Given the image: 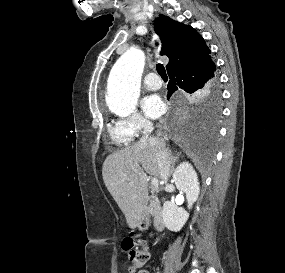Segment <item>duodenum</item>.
I'll return each instance as SVG.
<instances>
[{"mask_svg":"<svg viewBox=\"0 0 285 273\" xmlns=\"http://www.w3.org/2000/svg\"><path fill=\"white\" fill-rule=\"evenodd\" d=\"M148 218L153 219V225L156 231L160 232L164 229L165 223L162 215L160 201L157 197L152 195L147 196L144 201L140 226H144L147 223Z\"/></svg>","mask_w":285,"mask_h":273,"instance_id":"duodenum-1","label":"duodenum"}]
</instances>
